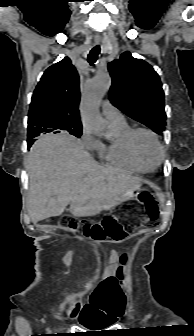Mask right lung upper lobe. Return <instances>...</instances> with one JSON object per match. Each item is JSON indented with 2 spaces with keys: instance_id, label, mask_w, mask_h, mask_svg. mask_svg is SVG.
<instances>
[{
  "instance_id": "right-lung-upper-lobe-1",
  "label": "right lung upper lobe",
  "mask_w": 194,
  "mask_h": 336,
  "mask_svg": "<svg viewBox=\"0 0 194 336\" xmlns=\"http://www.w3.org/2000/svg\"><path fill=\"white\" fill-rule=\"evenodd\" d=\"M79 101V76L65 57L44 72L34 91L29 109L28 144L46 133L82 129Z\"/></svg>"
}]
</instances>
